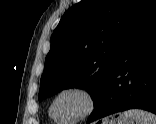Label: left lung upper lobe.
<instances>
[{
  "instance_id": "left-lung-upper-lobe-1",
  "label": "left lung upper lobe",
  "mask_w": 156,
  "mask_h": 124,
  "mask_svg": "<svg viewBox=\"0 0 156 124\" xmlns=\"http://www.w3.org/2000/svg\"><path fill=\"white\" fill-rule=\"evenodd\" d=\"M155 8L156 0H82L71 7L51 37L39 101L78 87L95 104L126 45Z\"/></svg>"
}]
</instances>
